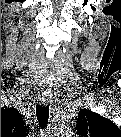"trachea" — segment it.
Wrapping results in <instances>:
<instances>
[{
  "mask_svg": "<svg viewBox=\"0 0 121 137\" xmlns=\"http://www.w3.org/2000/svg\"><path fill=\"white\" fill-rule=\"evenodd\" d=\"M36 116H37V119H38L40 125L42 127H45L48 122V118H49L48 106L37 105Z\"/></svg>",
  "mask_w": 121,
  "mask_h": 137,
  "instance_id": "trachea-1",
  "label": "trachea"
}]
</instances>
